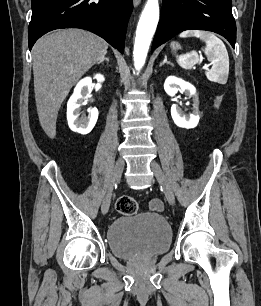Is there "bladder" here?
Returning <instances> with one entry per match:
<instances>
[{
  "label": "bladder",
  "mask_w": 261,
  "mask_h": 306,
  "mask_svg": "<svg viewBox=\"0 0 261 306\" xmlns=\"http://www.w3.org/2000/svg\"><path fill=\"white\" fill-rule=\"evenodd\" d=\"M110 251L122 259L154 257L168 251L172 230L163 216L140 213L117 218L107 230Z\"/></svg>",
  "instance_id": "obj_1"
}]
</instances>
